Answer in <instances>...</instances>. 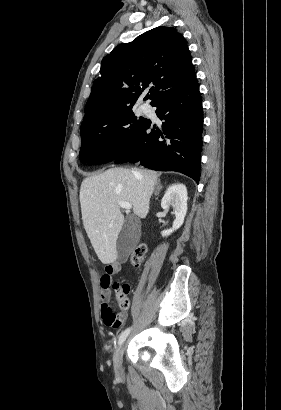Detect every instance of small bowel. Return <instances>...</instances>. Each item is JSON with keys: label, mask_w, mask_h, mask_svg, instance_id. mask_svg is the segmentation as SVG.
<instances>
[{"label": "small bowel", "mask_w": 281, "mask_h": 410, "mask_svg": "<svg viewBox=\"0 0 281 410\" xmlns=\"http://www.w3.org/2000/svg\"><path fill=\"white\" fill-rule=\"evenodd\" d=\"M121 266L119 263H113L105 266L104 273L100 277L101 288V314L102 317L107 308H109L110 287L112 285V275L120 271ZM122 322L125 320V316L121 315ZM120 324V325H121Z\"/></svg>", "instance_id": "c3829d8e"}]
</instances>
